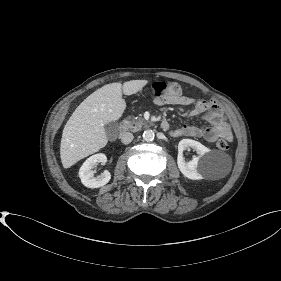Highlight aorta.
Segmentation results:
<instances>
[{"instance_id":"obj_1","label":"aorta","mask_w":281,"mask_h":281,"mask_svg":"<svg viewBox=\"0 0 281 281\" xmlns=\"http://www.w3.org/2000/svg\"><path fill=\"white\" fill-rule=\"evenodd\" d=\"M154 137H155V134L153 132V130L151 129H147L144 131L143 133V139L146 141V142H151L154 140Z\"/></svg>"}]
</instances>
